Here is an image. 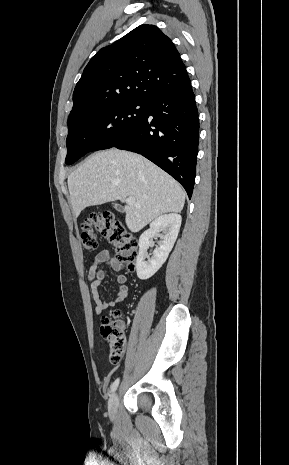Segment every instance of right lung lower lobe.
<instances>
[{
	"mask_svg": "<svg viewBox=\"0 0 289 465\" xmlns=\"http://www.w3.org/2000/svg\"><path fill=\"white\" fill-rule=\"evenodd\" d=\"M198 140V111L189 83L148 100L142 122L113 147L143 155L174 177L191 198Z\"/></svg>",
	"mask_w": 289,
	"mask_h": 465,
	"instance_id": "1",
	"label": "right lung lower lobe"
}]
</instances>
